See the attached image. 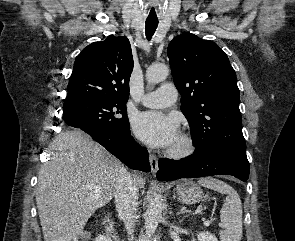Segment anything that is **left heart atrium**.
I'll return each instance as SVG.
<instances>
[{"label":"left heart atrium","instance_id":"obj_1","mask_svg":"<svg viewBox=\"0 0 295 241\" xmlns=\"http://www.w3.org/2000/svg\"><path fill=\"white\" fill-rule=\"evenodd\" d=\"M136 136L152 147H171L178 140V123L157 111L137 114L132 122Z\"/></svg>","mask_w":295,"mask_h":241}]
</instances>
